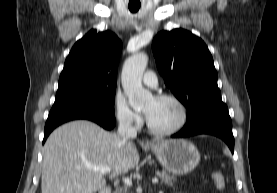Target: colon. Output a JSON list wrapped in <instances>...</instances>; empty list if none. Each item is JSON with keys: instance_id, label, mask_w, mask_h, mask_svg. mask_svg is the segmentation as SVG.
Returning a JSON list of instances; mask_svg holds the SVG:
<instances>
[{"instance_id": "colon-1", "label": "colon", "mask_w": 277, "mask_h": 193, "mask_svg": "<svg viewBox=\"0 0 277 193\" xmlns=\"http://www.w3.org/2000/svg\"><path fill=\"white\" fill-rule=\"evenodd\" d=\"M211 178H212L214 186L218 190H224L225 189L226 181H225L224 175L221 172H219V171L213 172L211 174Z\"/></svg>"}]
</instances>
